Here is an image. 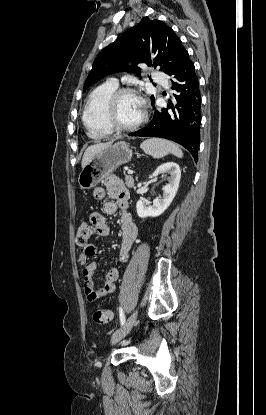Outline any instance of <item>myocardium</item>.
Listing matches in <instances>:
<instances>
[{"instance_id": "1", "label": "myocardium", "mask_w": 266, "mask_h": 415, "mask_svg": "<svg viewBox=\"0 0 266 415\" xmlns=\"http://www.w3.org/2000/svg\"><path fill=\"white\" fill-rule=\"evenodd\" d=\"M126 94L134 95L138 98L137 93L134 89L123 87L116 89L111 96L109 97L107 104H106V119L109 123V125L112 127L115 131L120 132H130L137 130L140 128L146 121H147V111L143 109L142 116L138 122L132 125H123L121 124L116 117V107L119 99Z\"/></svg>"}]
</instances>
